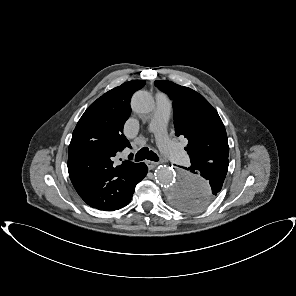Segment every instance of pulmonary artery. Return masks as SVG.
I'll use <instances>...</instances> for the list:
<instances>
[{
  "instance_id": "obj_1",
  "label": "pulmonary artery",
  "mask_w": 296,
  "mask_h": 296,
  "mask_svg": "<svg viewBox=\"0 0 296 296\" xmlns=\"http://www.w3.org/2000/svg\"><path fill=\"white\" fill-rule=\"evenodd\" d=\"M172 110V101L163 94L156 95V108L150 120L148 130L156 137V141L161 151L172 161L184 163L188 157L176 144H174L167 136L166 124Z\"/></svg>"
}]
</instances>
